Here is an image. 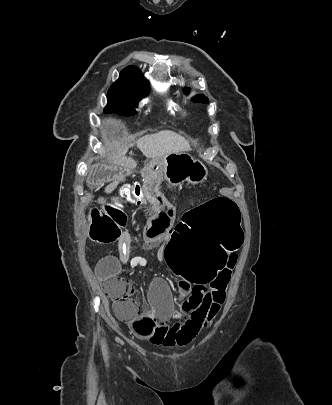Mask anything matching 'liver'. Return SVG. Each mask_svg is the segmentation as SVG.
<instances>
[{
    "label": "liver",
    "instance_id": "6515ba94",
    "mask_svg": "<svg viewBox=\"0 0 332 405\" xmlns=\"http://www.w3.org/2000/svg\"><path fill=\"white\" fill-rule=\"evenodd\" d=\"M137 147L146 158L161 160L171 153H179L191 150L189 142L181 135L170 131L163 130L156 134L144 136L137 140ZM132 146L124 145L121 140H114L111 147L115 150L114 159L117 163H126V153Z\"/></svg>",
    "mask_w": 332,
    "mask_h": 405
}]
</instances>
